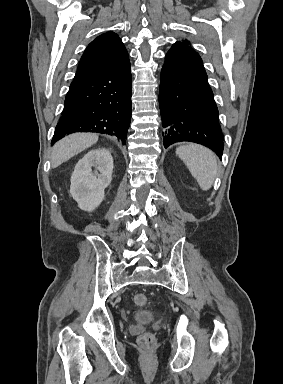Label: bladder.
<instances>
[{
	"label": "bladder",
	"mask_w": 283,
	"mask_h": 384,
	"mask_svg": "<svg viewBox=\"0 0 283 384\" xmlns=\"http://www.w3.org/2000/svg\"><path fill=\"white\" fill-rule=\"evenodd\" d=\"M152 317V314L149 313V312H143V313H140L137 317V320L139 321H142V320H149L151 319Z\"/></svg>",
	"instance_id": "obj_1"
}]
</instances>
